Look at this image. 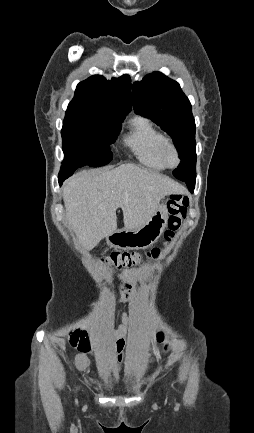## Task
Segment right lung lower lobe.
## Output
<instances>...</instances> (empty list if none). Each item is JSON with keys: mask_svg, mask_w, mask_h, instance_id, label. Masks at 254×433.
<instances>
[{"mask_svg": "<svg viewBox=\"0 0 254 433\" xmlns=\"http://www.w3.org/2000/svg\"><path fill=\"white\" fill-rule=\"evenodd\" d=\"M75 170L76 168H69V167L62 166L58 176L59 184L62 185L63 181L67 179L69 176H71Z\"/></svg>", "mask_w": 254, "mask_h": 433, "instance_id": "1", "label": "right lung lower lobe"}]
</instances>
